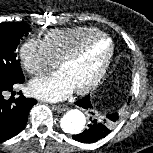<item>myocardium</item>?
Segmentation results:
<instances>
[{"label":"myocardium","mask_w":153,"mask_h":153,"mask_svg":"<svg viewBox=\"0 0 153 153\" xmlns=\"http://www.w3.org/2000/svg\"><path fill=\"white\" fill-rule=\"evenodd\" d=\"M101 40H106L109 42V45H110L109 51H108L103 63L101 64L99 70L95 74V76L86 85L75 89V92L77 94L88 93L93 88H95L100 83V81L103 79V77L105 76V74L111 64V61L113 59L114 52H115V44H114L113 39L111 37H109L108 35L102 34V33L97 36L91 37V38L87 39L86 41H84L75 50H73L71 53H69L68 55H66L64 58H62L59 61L58 65H59V68L61 69L64 65L78 60L92 44H94L95 42L101 41Z\"/></svg>","instance_id":"obj_1"}]
</instances>
